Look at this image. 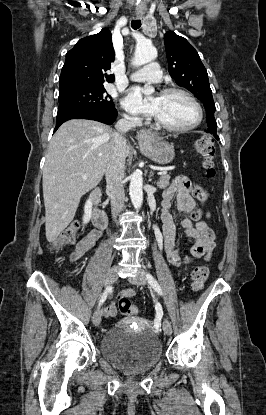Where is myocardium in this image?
Segmentation results:
<instances>
[{"label":"myocardium","instance_id":"1","mask_svg":"<svg viewBox=\"0 0 266 415\" xmlns=\"http://www.w3.org/2000/svg\"><path fill=\"white\" fill-rule=\"evenodd\" d=\"M162 94H165V95L180 94V95L185 96L194 105L196 112H197V118L190 125H187L184 127H174V126H170V125L162 123L160 120H158L155 117L154 121H155L156 127H158L159 129L165 130L167 132L182 133V132H187L192 129H195L201 124L203 120V109L200 103L198 102V100L189 91L182 89V88H177V87H168L162 90Z\"/></svg>","mask_w":266,"mask_h":415}]
</instances>
